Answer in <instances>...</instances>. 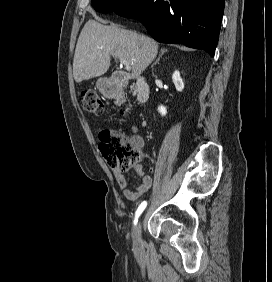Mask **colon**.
<instances>
[{"label": "colon", "mask_w": 272, "mask_h": 282, "mask_svg": "<svg viewBox=\"0 0 272 282\" xmlns=\"http://www.w3.org/2000/svg\"><path fill=\"white\" fill-rule=\"evenodd\" d=\"M80 103L85 111L95 115H102L105 111L100 96L92 90L81 92ZM98 139L102 157L112 169L124 173L142 159L140 148L117 131L102 129Z\"/></svg>", "instance_id": "1"}]
</instances>
